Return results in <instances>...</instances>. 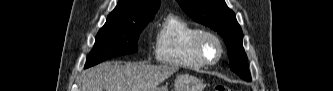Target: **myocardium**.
<instances>
[{"mask_svg":"<svg viewBox=\"0 0 333 91\" xmlns=\"http://www.w3.org/2000/svg\"><path fill=\"white\" fill-rule=\"evenodd\" d=\"M207 39H212L218 46V54L214 60H209L204 53V45ZM194 53L197 59L205 66L216 65L224 54V46L219 35L212 31H201L194 40Z\"/></svg>","mask_w":333,"mask_h":91,"instance_id":"myocardium-1","label":"myocardium"}]
</instances>
